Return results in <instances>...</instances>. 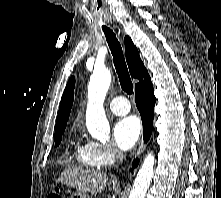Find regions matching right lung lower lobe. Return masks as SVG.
I'll list each match as a JSON object with an SVG mask.
<instances>
[{
	"label": "right lung lower lobe",
	"instance_id": "1",
	"mask_svg": "<svg viewBox=\"0 0 221 198\" xmlns=\"http://www.w3.org/2000/svg\"><path fill=\"white\" fill-rule=\"evenodd\" d=\"M135 101L142 119L144 141L147 142L152 132L154 105L156 102L151 79H148L135 89ZM138 163V159L134 160L133 167H136Z\"/></svg>",
	"mask_w": 221,
	"mask_h": 198
}]
</instances>
